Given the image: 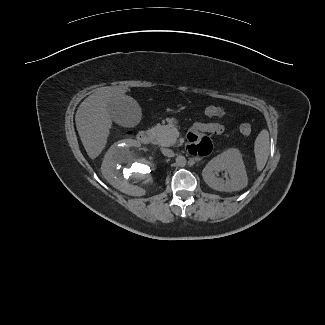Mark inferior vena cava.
<instances>
[{"label":"inferior vena cava","mask_w":325,"mask_h":325,"mask_svg":"<svg viewBox=\"0 0 325 325\" xmlns=\"http://www.w3.org/2000/svg\"><path fill=\"white\" fill-rule=\"evenodd\" d=\"M161 152L167 157H173L174 156V152L171 149L163 148L161 150Z\"/></svg>","instance_id":"inferior-vena-cava-1"}]
</instances>
